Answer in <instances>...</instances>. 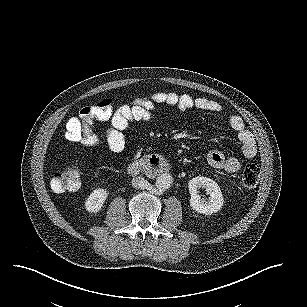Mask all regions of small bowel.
<instances>
[{
    "label": "small bowel",
    "mask_w": 307,
    "mask_h": 307,
    "mask_svg": "<svg viewBox=\"0 0 307 307\" xmlns=\"http://www.w3.org/2000/svg\"><path fill=\"white\" fill-rule=\"evenodd\" d=\"M156 104H165L178 112H185L196 108L210 113H221L222 106L211 99L193 97L189 94L176 92H156L146 97L135 98L130 104H124L112 110V108L97 114V119L109 122L105 132L107 147L114 152L121 151L126 143L125 130L132 122H149L154 119ZM230 127L236 132L242 143V152L248 159L257 154V146L252 132L247 129L244 121L238 115L228 116ZM65 138L70 142H79L81 139V124L77 117H72L66 125ZM208 164L227 172H238L241 161L236 157H226L221 151L211 150L207 153Z\"/></svg>",
    "instance_id": "obj_1"
}]
</instances>
